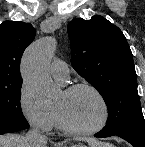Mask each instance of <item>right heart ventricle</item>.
<instances>
[{"mask_svg":"<svg viewBox=\"0 0 145 147\" xmlns=\"http://www.w3.org/2000/svg\"><path fill=\"white\" fill-rule=\"evenodd\" d=\"M55 124H56V125H58V122H57V119H56V117H55Z\"/></svg>","mask_w":145,"mask_h":147,"instance_id":"right-heart-ventricle-1","label":"right heart ventricle"}]
</instances>
